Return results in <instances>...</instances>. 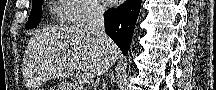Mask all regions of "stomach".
<instances>
[{"label": "stomach", "instance_id": "0dacf381", "mask_svg": "<svg viewBox=\"0 0 216 90\" xmlns=\"http://www.w3.org/2000/svg\"><path fill=\"white\" fill-rule=\"evenodd\" d=\"M58 90H70V85L66 82H63L59 85Z\"/></svg>", "mask_w": 216, "mask_h": 90}]
</instances>
